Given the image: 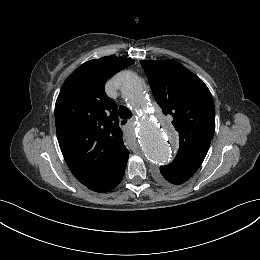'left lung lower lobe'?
<instances>
[{
  "instance_id": "left-lung-lower-lobe-1",
  "label": "left lung lower lobe",
  "mask_w": 260,
  "mask_h": 260,
  "mask_svg": "<svg viewBox=\"0 0 260 260\" xmlns=\"http://www.w3.org/2000/svg\"><path fill=\"white\" fill-rule=\"evenodd\" d=\"M193 174L180 172V171H166L162 175L159 174L158 178L163 183L182 184L187 181Z\"/></svg>"
}]
</instances>
